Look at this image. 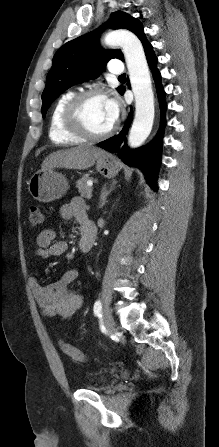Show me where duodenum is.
<instances>
[{
	"label": "duodenum",
	"mask_w": 219,
	"mask_h": 447,
	"mask_svg": "<svg viewBox=\"0 0 219 447\" xmlns=\"http://www.w3.org/2000/svg\"><path fill=\"white\" fill-rule=\"evenodd\" d=\"M95 238H96L95 223L89 220L86 216L85 219L83 220L81 250L83 252H89Z\"/></svg>",
	"instance_id": "duodenum-1"
}]
</instances>
